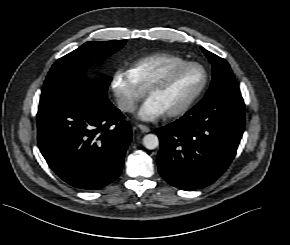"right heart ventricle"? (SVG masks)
Instances as JSON below:
<instances>
[{
    "mask_svg": "<svg viewBox=\"0 0 290 245\" xmlns=\"http://www.w3.org/2000/svg\"><path fill=\"white\" fill-rule=\"evenodd\" d=\"M184 62L187 61L178 55L159 53L139 59L130 67V71L139 86L145 89L155 76L173 65Z\"/></svg>",
    "mask_w": 290,
    "mask_h": 245,
    "instance_id": "obj_1",
    "label": "right heart ventricle"
}]
</instances>
